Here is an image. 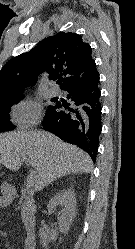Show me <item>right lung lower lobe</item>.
<instances>
[{"instance_id": "98d812e1", "label": "right lung lower lobe", "mask_w": 135, "mask_h": 249, "mask_svg": "<svg viewBox=\"0 0 135 249\" xmlns=\"http://www.w3.org/2000/svg\"><path fill=\"white\" fill-rule=\"evenodd\" d=\"M98 85L99 73L89 80L67 87L65 91L69 93L67 98L73 102V108L57 102L47 111L42 125L44 130L79 146L93 161L96 160L102 129L101 92Z\"/></svg>"}]
</instances>
